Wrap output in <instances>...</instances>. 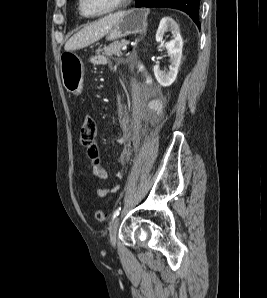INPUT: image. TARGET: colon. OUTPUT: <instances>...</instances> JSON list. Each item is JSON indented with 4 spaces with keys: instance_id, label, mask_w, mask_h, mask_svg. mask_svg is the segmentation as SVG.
I'll use <instances>...</instances> for the list:
<instances>
[{
    "instance_id": "5ec220e1",
    "label": "colon",
    "mask_w": 267,
    "mask_h": 298,
    "mask_svg": "<svg viewBox=\"0 0 267 298\" xmlns=\"http://www.w3.org/2000/svg\"><path fill=\"white\" fill-rule=\"evenodd\" d=\"M98 134V125L96 120L93 117L87 116L83 119L80 132H79V141L80 144L84 147L87 155L93 161L94 165L99 163V147L96 142ZM108 214L104 209H98L95 212V218L97 221L103 222L107 219Z\"/></svg>"
}]
</instances>
